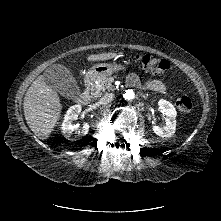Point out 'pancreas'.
I'll return each mask as SVG.
<instances>
[{"instance_id": "pancreas-1", "label": "pancreas", "mask_w": 221, "mask_h": 221, "mask_svg": "<svg viewBox=\"0 0 221 221\" xmlns=\"http://www.w3.org/2000/svg\"><path fill=\"white\" fill-rule=\"evenodd\" d=\"M114 82L113 77H101L98 78V84L91 87L92 95L97 98L102 92L109 91L112 89V83Z\"/></svg>"}]
</instances>
